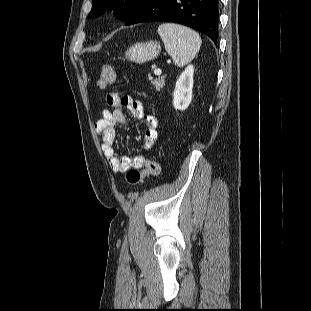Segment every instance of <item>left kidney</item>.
I'll list each match as a JSON object with an SVG mask.
<instances>
[{
	"label": "left kidney",
	"instance_id": "5707ae66",
	"mask_svg": "<svg viewBox=\"0 0 311 311\" xmlns=\"http://www.w3.org/2000/svg\"><path fill=\"white\" fill-rule=\"evenodd\" d=\"M193 73L194 67L189 65L177 79L173 92V106L175 109L183 111L188 108L192 99Z\"/></svg>",
	"mask_w": 311,
	"mask_h": 311
}]
</instances>
